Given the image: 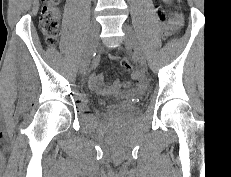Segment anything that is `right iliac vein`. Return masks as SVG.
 Segmentation results:
<instances>
[{
	"label": "right iliac vein",
	"mask_w": 231,
	"mask_h": 177,
	"mask_svg": "<svg viewBox=\"0 0 231 177\" xmlns=\"http://www.w3.org/2000/svg\"><path fill=\"white\" fill-rule=\"evenodd\" d=\"M99 29H100L99 24L95 20H92L90 23L89 35H88V39H87V42L85 45L83 58H82V62H81L82 74H86L88 71L90 59H91L92 53L96 47Z\"/></svg>",
	"instance_id": "1"
}]
</instances>
